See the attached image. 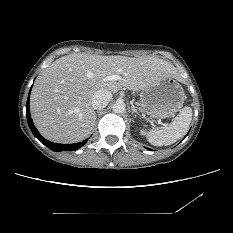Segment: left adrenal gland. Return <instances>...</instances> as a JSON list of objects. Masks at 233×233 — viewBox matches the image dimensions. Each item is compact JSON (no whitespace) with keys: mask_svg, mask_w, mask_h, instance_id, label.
<instances>
[{"mask_svg":"<svg viewBox=\"0 0 233 233\" xmlns=\"http://www.w3.org/2000/svg\"><path fill=\"white\" fill-rule=\"evenodd\" d=\"M131 110H132V115H133V116H134V114L139 115L138 111H137L134 107H132ZM132 120H133V119H132Z\"/></svg>","mask_w":233,"mask_h":233,"instance_id":"left-adrenal-gland-1","label":"left adrenal gland"}]
</instances>
